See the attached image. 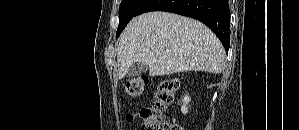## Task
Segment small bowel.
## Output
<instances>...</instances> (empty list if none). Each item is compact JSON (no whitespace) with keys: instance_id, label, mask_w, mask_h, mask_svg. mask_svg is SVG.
Listing matches in <instances>:
<instances>
[{"instance_id":"1","label":"small bowel","mask_w":299,"mask_h":130,"mask_svg":"<svg viewBox=\"0 0 299 130\" xmlns=\"http://www.w3.org/2000/svg\"><path fill=\"white\" fill-rule=\"evenodd\" d=\"M138 116H139L138 111L128 112L125 115V120L129 123H133L137 119Z\"/></svg>"}]
</instances>
